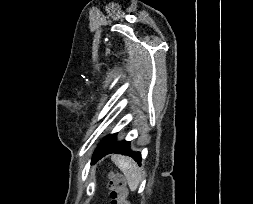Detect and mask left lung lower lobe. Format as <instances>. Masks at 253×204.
<instances>
[{"mask_svg": "<svg viewBox=\"0 0 253 204\" xmlns=\"http://www.w3.org/2000/svg\"><path fill=\"white\" fill-rule=\"evenodd\" d=\"M117 134H112L103 139L99 147L96 149L92 163H95L98 159L109 153H120L132 157L139 165L141 164V153L133 152L130 150V142L121 141L116 142Z\"/></svg>", "mask_w": 253, "mask_h": 204, "instance_id": "0a47b994", "label": "left lung lower lobe"}]
</instances>
